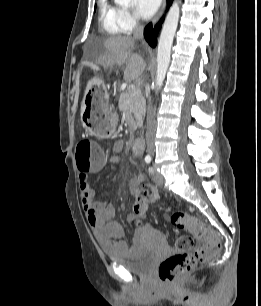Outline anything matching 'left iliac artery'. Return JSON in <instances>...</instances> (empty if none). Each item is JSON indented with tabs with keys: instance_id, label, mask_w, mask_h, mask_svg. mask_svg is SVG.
Wrapping results in <instances>:
<instances>
[{
	"instance_id": "left-iliac-artery-1",
	"label": "left iliac artery",
	"mask_w": 261,
	"mask_h": 306,
	"mask_svg": "<svg viewBox=\"0 0 261 306\" xmlns=\"http://www.w3.org/2000/svg\"><path fill=\"white\" fill-rule=\"evenodd\" d=\"M150 172H152V168H149Z\"/></svg>"
}]
</instances>
